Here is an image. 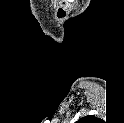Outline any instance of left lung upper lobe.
I'll return each instance as SVG.
<instances>
[{
	"mask_svg": "<svg viewBox=\"0 0 124 123\" xmlns=\"http://www.w3.org/2000/svg\"><path fill=\"white\" fill-rule=\"evenodd\" d=\"M91 117L92 116H86V117L81 118L79 121H80V123H86V120L92 119Z\"/></svg>",
	"mask_w": 124,
	"mask_h": 123,
	"instance_id": "left-lung-upper-lobe-1",
	"label": "left lung upper lobe"
}]
</instances>
